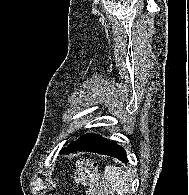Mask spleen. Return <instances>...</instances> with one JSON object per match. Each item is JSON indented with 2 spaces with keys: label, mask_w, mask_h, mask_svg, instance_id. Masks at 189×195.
<instances>
[{
  "label": "spleen",
  "mask_w": 189,
  "mask_h": 195,
  "mask_svg": "<svg viewBox=\"0 0 189 195\" xmlns=\"http://www.w3.org/2000/svg\"><path fill=\"white\" fill-rule=\"evenodd\" d=\"M104 176L119 195H126L129 191V180L126 172L120 167L109 165L104 169Z\"/></svg>",
  "instance_id": "spleen-1"
}]
</instances>
